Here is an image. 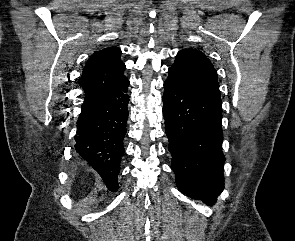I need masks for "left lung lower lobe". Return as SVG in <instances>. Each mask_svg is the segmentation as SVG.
<instances>
[{
    "label": "left lung lower lobe",
    "mask_w": 295,
    "mask_h": 241,
    "mask_svg": "<svg viewBox=\"0 0 295 241\" xmlns=\"http://www.w3.org/2000/svg\"><path fill=\"white\" fill-rule=\"evenodd\" d=\"M168 72L163 115L177 187L213 205L224 188L222 104L199 95Z\"/></svg>",
    "instance_id": "obj_1"
}]
</instances>
